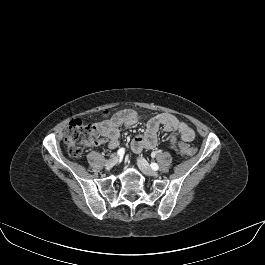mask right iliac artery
Wrapping results in <instances>:
<instances>
[{
	"mask_svg": "<svg viewBox=\"0 0 265 265\" xmlns=\"http://www.w3.org/2000/svg\"><path fill=\"white\" fill-rule=\"evenodd\" d=\"M125 153V149L124 148H120L118 151H117V155L118 156H123Z\"/></svg>",
	"mask_w": 265,
	"mask_h": 265,
	"instance_id": "82829eb1",
	"label": "right iliac artery"
}]
</instances>
